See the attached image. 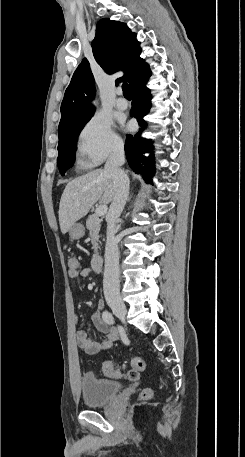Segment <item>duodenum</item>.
Here are the masks:
<instances>
[{"label": "duodenum", "instance_id": "410a0bca", "mask_svg": "<svg viewBox=\"0 0 245 457\" xmlns=\"http://www.w3.org/2000/svg\"><path fill=\"white\" fill-rule=\"evenodd\" d=\"M103 266V256L102 255H94L92 258V268L94 271L99 272Z\"/></svg>", "mask_w": 245, "mask_h": 457}]
</instances>
